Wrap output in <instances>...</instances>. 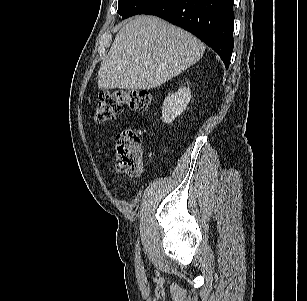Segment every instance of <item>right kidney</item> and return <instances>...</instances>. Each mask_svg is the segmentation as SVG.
I'll return each instance as SVG.
<instances>
[{
  "instance_id": "1",
  "label": "right kidney",
  "mask_w": 307,
  "mask_h": 301,
  "mask_svg": "<svg viewBox=\"0 0 307 301\" xmlns=\"http://www.w3.org/2000/svg\"><path fill=\"white\" fill-rule=\"evenodd\" d=\"M190 99L191 91L186 87L168 95L162 106V121L168 124L172 123L186 109Z\"/></svg>"
}]
</instances>
